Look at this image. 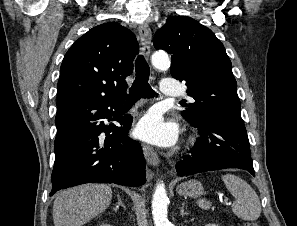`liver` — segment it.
I'll return each mask as SVG.
<instances>
[{
    "label": "liver",
    "instance_id": "liver-1",
    "mask_svg": "<svg viewBox=\"0 0 297 226\" xmlns=\"http://www.w3.org/2000/svg\"><path fill=\"white\" fill-rule=\"evenodd\" d=\"M108 185L87 184L62 191L53 204L54 226H82L110 205Z\"/></svg>",
    "mask_w": 297,
    "mask_h": 226
}]
</instances>
